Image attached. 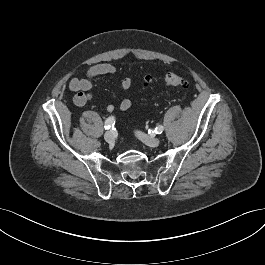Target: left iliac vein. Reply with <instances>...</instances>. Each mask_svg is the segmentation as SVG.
<instances>
[{
	"instance_id": "left-iliac-vein-1",
	"label": "left iliac vein",
	"mask_w": 265,
	"mask_h": 265,
	"mask_svg": "<svg viewBox=\"0 0 265 265\" xmlns=\"http://www.w3.org/2000/svg\"><path fill=\"white\" fill-rule=\"evenodd\" d=\"M136 136L144 142L146 145L151 147H157L160 144V139L157 137L149 136L143 132L137 131Z\"/></svg>"
}]
</instances>
